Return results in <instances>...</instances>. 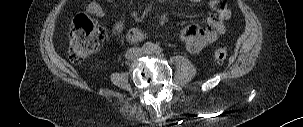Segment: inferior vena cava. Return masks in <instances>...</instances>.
<instances>
[{
    "label": "inferior vena cava",
    "instance_id": "602c4592",
    "mask_svg": "<svg viewBox=\"0 0 303 127\" xmlns=\"http://www.w3.org/2000/svg\"><path fill=\"white\" fill-rule=\"evenodd\" d=\"M142 55V52L139 48H130L129 50H127L125 57L130 60H136L138 59L140 56Z\"/></svg>",
    "mask_w": 303,
    "mask_h": 127
}]
</instances>
